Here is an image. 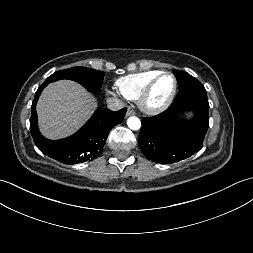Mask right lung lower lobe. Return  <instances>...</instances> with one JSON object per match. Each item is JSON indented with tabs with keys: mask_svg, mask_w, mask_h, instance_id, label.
I'll use <instances>...</instances> for the list:
<instances>
[{
	"mask_svg": "<svg viewBox=\"0 0 253 253\" xmlns=\"http://www.w3.org/2000/svg\"><path fill=\"white\" fill-rule=\"evenodd\" d=\"M49 84L45 81L36 91L31 106L30 131L36 146L45 155L64 164L92 161L103 151L110 130L123 122L127 109L111 111L99 108L87 123L72 136L61 140H48L41 135L37 125L36 103L42 90Z\"/></svg>",
	"mask_w": 253,
	"mask_h": 253,
	"instance_id": "right-lung-lower-lobe-1",
	"label": "right lung lower lobe"
}]
</instances>
